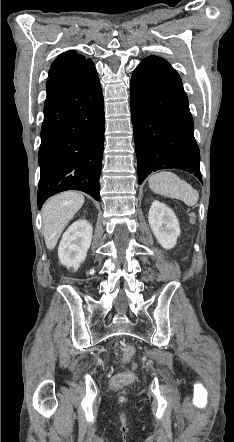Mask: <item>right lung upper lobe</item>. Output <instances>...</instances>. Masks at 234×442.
Masks as SVG:
<instances>
[{
	"label": "right lung upper lobe",
	"mask_w": 234,
	"mask_h": 442,
	"mask_svg": "<svg viewBox=\"0 0 234 442\" xmlns=\"http://www.w3.org/2000/svg\"><path fill=\"white\" fill-rule=\"evenodd\" d=\"M91 63V59L77 55L75 51H67L60 54L52 63L49 79L70 77Z\"/></svg>",
	"instance_id": "obj_1"
}]
</instances>
